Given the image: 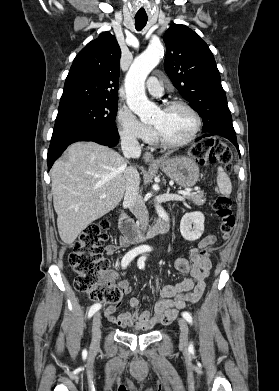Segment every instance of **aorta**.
<instances>
[{
    "mask_svg": "<svg viewBox=\"0 0 279 391\" xmlns=\"http://www.w3.org/2000/svg\"><path fill=\"white\" fill-rule=\"evenodd\" d=\"M164 55L161 43H152L133 61L125 78L126 98L129 108L142 121L150 119L156 112V105L149 101L145 94V80L149 73L158 65ZM155 209L159 217L168 221L164 209L156 204Z\"/></svg>",
    "mask_w": 279,
    "mask_h": 391,
    "instance_id": "762f6f07",
    "label": "aorta"
}]
</instances>
